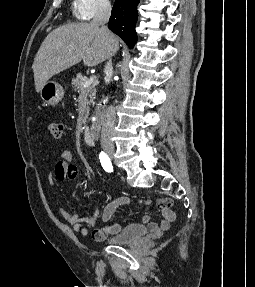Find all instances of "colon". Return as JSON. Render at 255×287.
<instances>
[{"instance_id": "obj_1", "label": "colon", "mask_w": 255, "mask_h": 287, "mask_svg": "<svg viewBox=\"0 0 255 287\" xmlns=\"http://www.w3.org/2000/svg\"><path fill=\"white\" fill-rule=\"evenodd\" d=\"M47 129L54 138H59L62 135V126L57 122H49L47 124Z\"/></svg>"}]
</instances>
